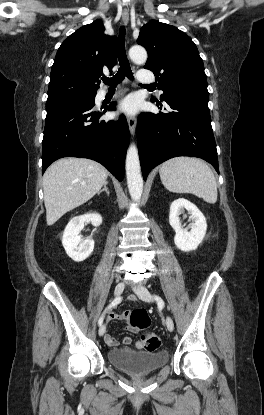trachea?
I'll return each mask as SVG.
<instances>
[{
  "instance_id": "trachea-1",
  "label": "trachea",
  "mask_w": 264,
  "mask_h": 415,
  "mask_svg": "<svg viewBox=\"0 0 264 415\" xmlns=\"http://www.w3.org/2000/svg\"><path fill=\"white\" fill-rule=\"evenodd\" d=\"M118 60H119V70L112 78H105L103 82L108 84L110 87L116 86L119 84L124 77H127L133 80V73L129 61L127 59L126 50H125V27L120 29L119 41H118ZM146 87H154L153 85H144Z\"/></svg>"
}]
</instances>
